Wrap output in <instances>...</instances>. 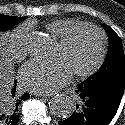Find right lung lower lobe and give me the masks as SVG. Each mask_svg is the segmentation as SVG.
<instances>
[{"label": "right lung lower lobe", "instance_id": "98d812e1", "mask_svg": "<svg viewBox=\"0 0 125 125\" xmlns=\"http://www.w3.org/2000/svg\"><path fill=\"white\" fill-rule=\"evenodd\" d=\"M16 85L12 90L13 104L10 106H0V125H17L19 121L18 106L22 100L30 97L29 93H24L19 99L15 96Z\"/></svg>", "mask_w": 125, "mask_h": 125}]
</instances>
